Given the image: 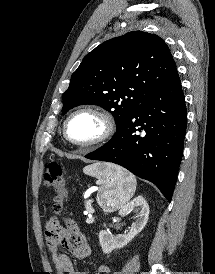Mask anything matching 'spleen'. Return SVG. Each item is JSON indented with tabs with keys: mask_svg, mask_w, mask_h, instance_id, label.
<instances>
[{
	"mask_svg": "<svg viewBox=\"0 0 215 274\" xmlns=\"http://www.w3.org/2000/svg\"><path fill=\"white\" fill-rule=\"evenodd\" d=\"M83 172L102 181L97 201L107 212L123 207L135 193L136 178L122 167L95 163L86 166Z\"/></svg>",
	"mask_w": 215,
	"mask_h": 274,
	"instance_id": "obj_1",
	"label": "spleen"
}]
</instances>
